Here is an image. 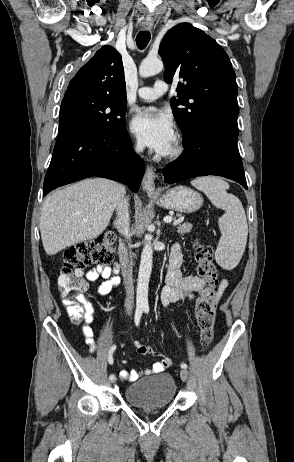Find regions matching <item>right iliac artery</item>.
Segmentation results:
<instances>
[{"label":"right iliac artery","instance_id":"82829eb1","mask_svg":"<svg viewBox=\"0 0 294 462\" xmlns=\"http://www.w3.org/2000/svg\"><path fill=\"white\" fill-rule=\"evenodd\" d=\"M142 313H143V309H141V308H137V309H136L135 317H134V321H135V325H136V326L139 325V322H140ZM115 349H116V346L113 345V346L110 348V350H109L108 362H109L110 364H113V357H112V355H113V352L115 351ZM114 378H115V376H114L113 374L109 376V379H110V380H112V379H114Z\"/></svg>","mask_w":294,"mask_h":462}]
</instances>
